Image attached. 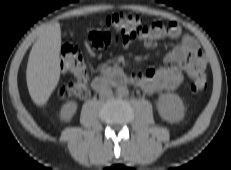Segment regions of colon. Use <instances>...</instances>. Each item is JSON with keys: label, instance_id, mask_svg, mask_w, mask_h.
<instances>
[{"label": "colon", "instance_id": "obj_1", "mask_svg": "<svg viewBox=\"0 0 231 170\" xmlns=\"http://www.w3.org/2000/svg\"><path fill=\"white\" fill-rule=\"evenodd\" d=\"M107 30H112L122 35L136 37L143 32L142 19L135 14L115 12L108 15L102 22ZM61 69L72 80L63 85L57 92L62 99H84L88 95V75L86 61L81 51L72 45H65L61 51ZM207 88V77L204 72H199L193 79L190 90L194 94L201 93Z\"/></svg>", "mask_w": 231, "mask_h": 170}]
</instances>
